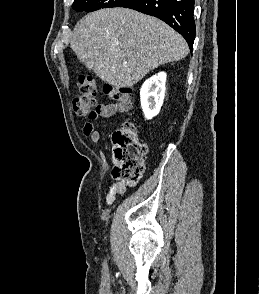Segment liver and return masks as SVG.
Instances as JSON below:
<instances>
[{
	"instance_id": "6515ba94",
	"label": "liver",
	"mask_w": 259,
	"mask_h": 294,
	"mask_svg": "<svg viewBox=\"0 0 259 294\" xmlns=\"http://www.w3.org/2000/svg\"><path fill=\"white\" fill-rule=\"evenodd\" d=\"M70 44L88 70L114 87H131L150 70L189 52L184 38L163 21L121 7L87 14Z\"/></svg>"
}]
</instances>
